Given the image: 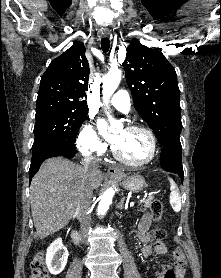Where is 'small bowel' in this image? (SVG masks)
<instances>
[{
  "label": "small bowel",
  "mask_w": 221,
  "mask_h": 278,
  "mask_svg": "<svg viewBox=\"0 0 221 278\" xmlns=\"http://www.w3.org/2000/svg\"><path fill=\"white\" fill-rule=\"evenodd\" d=\"M150 227L151 217L148 214H144L139 222L137 232L138 241L144 244L141 248V254L144 257H149L153 253H156L157 255H165L168 250L164 243L156 241L153 244H148L150 241ZM173 257L176 278H184L186 262L183 252L179 249H176L173 251ZM154 278H165V273L159 270L156 272Z\"/></svg>",
  "instance_id": "obj_1"
}]
</instances>
